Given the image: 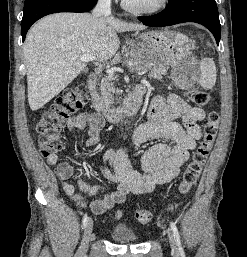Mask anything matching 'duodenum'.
I'll use <instances>...</instances> for the list:
<instances>
[{"instance_id":"duodenum-1","label":"duodenum","mask_w":247,"mask_h":257,"mask_svg":"<svg viewBox=\"0 0 247 257\" xmlns=\"http://www.w3.org/2000/svg\"><path fill=\"white\" fill-rule=\"evenodd\" d=\"M98 75L90 73L87 78V89L89 98L93 108L104 115L110 121H120L135 115L142 104L143 95L146 92V87L143 84L136 86L133 93L130 95L127 102L121 107H114L104 102L96 92Z\"/></svg>"}]
</instances>
